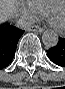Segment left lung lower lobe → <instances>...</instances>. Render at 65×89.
<instances>
[{
    "mask_svg": "<svg viewBox=\"0 0 65 89\" xmlns=\"http://www.w3.org/2000/svg\"><path fill=\"white\" fill-rule=\"evenodd\" d=\"M47 54L52 62L65 67V37L60 38L55 47L47 50Z\"/></svg>",
    "mask_w": 65,
    "mask_h": 89,
    "instance_id": "1",
    "label": "left lung lower lobe"
}]
</instances>
